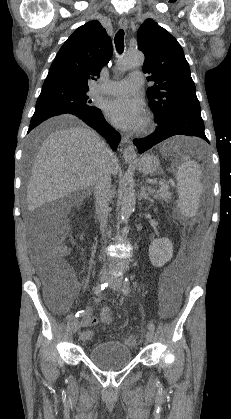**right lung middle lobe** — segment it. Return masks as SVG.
Returning <instances> with one entry per match:
<instances>
[{
    "label": "right lung middle lobe",
    "instance_id": "obj_1",
    "mask_svg": "<svg viewBox=\"0 0 231 419\" xmlns=\"http://www.w3.org/2000/svg\"><path fill=\"white\" fill-rule=\"evenodd\" d=\"M88 90L59 84L43 86L36 102V110L50 109L73 114H92L99 109L91 104L87 96Z\"/></svg>",
    "mask_w": 231,
    "mask_h": 419
}]
</instances>
